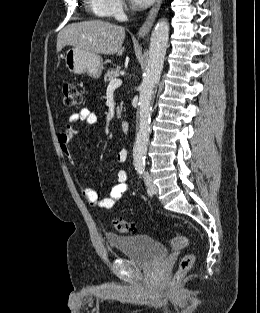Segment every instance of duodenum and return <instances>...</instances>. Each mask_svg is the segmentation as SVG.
I'll return each instance as SVG.
<instances>
[{"label":"duodenum","instance_id":"duodenum-1","mask_svg":"<svg viewBox=\"0 0 260 313\" xmlns=\"http://www.w3.org/2000/svg\"><path fill=\"white\" fill-rule=\"evenodd\" d=\"M122 131L124 134H128L130 131L129 123L127 121H123L121 123Z\"/></svg>","mask_w":260,"mask_h":313}]
</instances>
